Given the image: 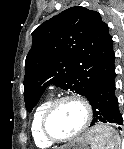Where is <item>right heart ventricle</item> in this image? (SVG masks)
I'll list each match as a JSON object with an SVG mask.
<instances>
[{
  "label": "right heart ventricle",
  "mask_w": 124,
  "mask_h": 149,
  "mask_svg": "<svg viewBox=\"0 0 124 149\" xmlns=\"http://www.w3.org/2000/svg\"><path fill=\"white\" fill-rule=\"evenodd\" d=\"M51 103H52V99L49 98L43 101L41 104H39L35 109L31 120V124H30L31 134H32L34 143L39 148H48L53 145L51 141L47 140L44 137L41 129L43 115Z\"/></svg>",
  "instance_id": "right-heart-ventricle-1"
}]
</instances>
